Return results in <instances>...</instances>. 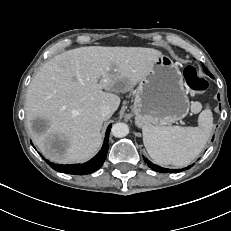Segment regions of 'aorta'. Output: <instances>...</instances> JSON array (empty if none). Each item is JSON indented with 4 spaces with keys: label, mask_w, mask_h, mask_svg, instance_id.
I'll return each mask as SVG.
<instances>
[{
    "label": "aorta",
    "mask_w": 231,
    "mask_h": 231,
    "mask_svg": "<svg viewBox=\"0 0 231 231\" xmlns=\"http://www.w3.org/2000/svg\"><path fill=\"white\" fill-rule=\"evenodd\" d=\"M111 132L114 137L122 138L129 133V127L125 123H116L112 126Z\"/></svg>",
    "instance_id": "aorta-1"
}]
</instances>
